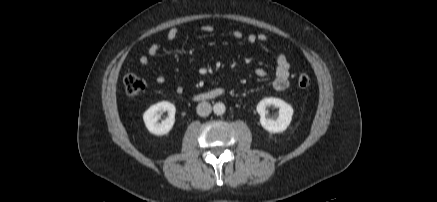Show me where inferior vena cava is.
Returning a JSON list of instances; mask_svg holds the SVG:
<instances>
[{
	"mask_svg": "<svg viewBox=\"0 0 437 202\" xmlns=\"http://www.w3.org/2000/svg\"><path fill=\"white\" fill-rule=\"evenodd\" d=\"M197 114L199 116L205 117L208 116L212 111V106L209 102L202 101L197 105Z\"/></svg>",
	"mask_w": 437,
	"mask_h": 202,
	"instance_id": "1",
	"label": "inferior vena cava"
}]
</instances>
